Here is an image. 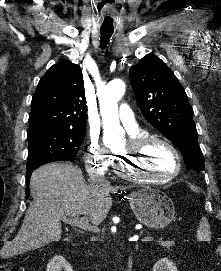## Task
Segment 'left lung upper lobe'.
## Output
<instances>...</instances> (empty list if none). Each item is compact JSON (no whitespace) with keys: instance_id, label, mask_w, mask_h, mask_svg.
Here are the masks:
<instances>
[{"instance_id":"obj_1","label":"left lung upper lobe","mask_w":221,"mask_h":271,"mask_svg":"<svg viewBox=\"0 0 221 271\" xmlns=\"http://www.w3.org/2000/svg\"><path fill=\"white\" fill-rule=\"evenodd\" d=\"M129 77L145 119L179 148L189 168L203 171L193 109L171 69L157 56L148 54L130 68Z\"/></svg>"}]
</instances>
